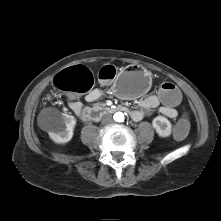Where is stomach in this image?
I'll return each instance as SVG.
<instances>
[{
	"instance_id": "obj_1",
	"label": "stomach",
	"mask_w": 221,
	"mask_h": 221,
	"mask_svg": "<svg viewBox=\"0 0 221 221\" xmlns=\"http://www.w3.org/2000/svg\"><path fill=\"white\" fill-rule=\"evenodd\" d=\"M150 84L149 72L132 65L118 74L113 83V90L120 97L132 99L143 95Z\"/></svg>"
}]
</instances>
